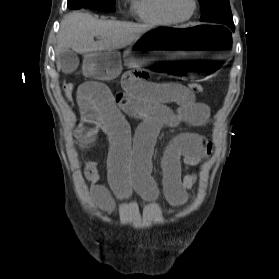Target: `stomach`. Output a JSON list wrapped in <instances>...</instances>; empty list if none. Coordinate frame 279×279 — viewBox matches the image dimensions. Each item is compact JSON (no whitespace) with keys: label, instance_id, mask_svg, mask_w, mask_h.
<instances>
[{"label":"stomach","instance_id":"0dacf381","mask_svg":"<svg viewBox=\"0 0 279 279\" xmlns=\"http://www.w3.org/2000/svg\"><path fill=\"white\" fill-rule=\"evenodd\" d=\"M217 29H226V24L156 25L125 54L87 50L77 64L76 75L84 82H112L125 63V69L149 67V72L169 78V82H212L216 72H223L236 55V50H230L232 35L220 34Z\"/></svg>","mask_w":279,"mask_h":279}]
</instances>
